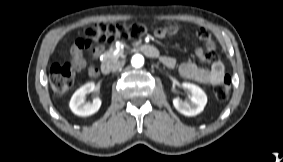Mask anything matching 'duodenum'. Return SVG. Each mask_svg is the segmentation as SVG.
Here are the masks:
<instances>
[{"instance_id":"duodenum-1","label":"duodenum","mask_w":283,"mask_h":162,"mask_svg":"<svg viewBox=\"0 0 283 162\" xmlns=\"http://www.w3.org/2000/svg\"><path fill=\"white\" fill-rule=\"evenodd\" d=\"M140 49L149 57L156 58L159 56L158 50L151 44H142ZM112 69V64L109 61L101 63V70L103 74H108Z\"/></svg>"}]
</instances>
